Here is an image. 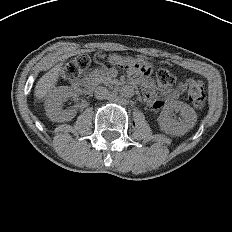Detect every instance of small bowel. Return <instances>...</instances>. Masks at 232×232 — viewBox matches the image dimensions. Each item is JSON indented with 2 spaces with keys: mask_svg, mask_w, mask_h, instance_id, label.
<instances>
[{
  "mask_svg": "<svg viewBox=\"0 0 232 232\" xmlns=\"http://www.w3.org/2000/svg\"><path fill=\"white\" fill-rule=\"evenodd\" d=\"M106 62L109 64H116L119 67L120 74H128L133 78H138L141 81L143 90L145 92V98L150 105L154 108H159L162 105L164 97H157L153 91V83L150 81V75L153 73V65L148 60L142 58H124L118 57L114 54L106 55ZM178 91H173L168 96L169 99H173L177 96Z\"/></svg>",
  "mask_w": 232,
  "mask_h": 232,
  "instance_id": "small-bowel-1",
  "label": "small bowel"
}]
</instances>
